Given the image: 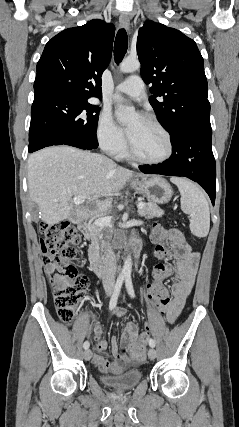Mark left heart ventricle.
<instances>
[{"label": "left heart ventricle", "mask_w": 239, "mask_h": 427, "mask_svg": "<svg viewBox=\"0 0 239 427\" xmlns=\"http://www.w3.org/2000/svg\"><path fill=\"white\" fill-rule=\"evenodd\" d=\"M129 141L134 151L143 158L156 160L163 157L168 149L164 134L141 117L128 123Z\"/></svg>", "instance_id": "left-heart-ventricle-1"}]
</instances>
